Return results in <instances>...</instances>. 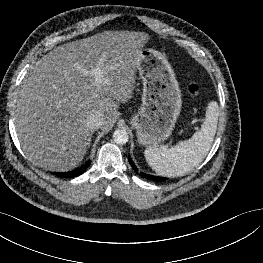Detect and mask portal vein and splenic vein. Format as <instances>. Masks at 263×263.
<instances>
[{
	"label": "portal vein and splenic vein",
	"instance_id": "portal-vein-and-splenic-vein-1",
	"mask_svg": "<svg viewBox=\"0 0 263 263\" xmlns=\"http://www.w3.org/2000/svg\"><path fill=\"white\" fill-rule=\"evenodd\" d=\"M90 74L95 77L96 85H99V84H101L104 81V78H103V75H102L103 73L98 67H96L92 71H90Z\"/></svg>",
	"mask_w": 263,
	"mask_h": 263
}]
</instances>
